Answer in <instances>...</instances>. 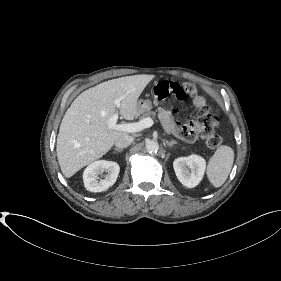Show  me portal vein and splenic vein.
<instances>
[{
  "label": "portal vein and splenic vein",
  "mask_w": 281,
  "mask_h": 281,
  "mask_svg": "<svg viewBox=\"0 0 281 281\" xmlns=\"http://www.w3.org/2000/svg\"><path fill=\"white\" fill-rule=\"evenodd\" d=\"M122 99L123 97L114 100V104L117 108L120 107V101ZM118 117H119V113L117 111L108 121L109 128L128 132V133H135V132H140L146 128H149L154 124L153 119L150 117L144 118L136 123L116 124Z\"/></svg>",
  "instance_id": "18ae733b"
}]
</instances>
